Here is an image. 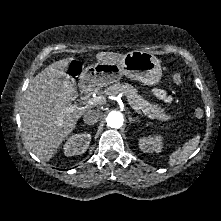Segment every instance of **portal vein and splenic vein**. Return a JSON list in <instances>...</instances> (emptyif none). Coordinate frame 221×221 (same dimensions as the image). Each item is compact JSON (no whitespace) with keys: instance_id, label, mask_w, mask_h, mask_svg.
I'll list each match as a JSON object with an SVG mask.
<instances>
[{"instance_id":"18ae733b","label":"portal vein and splenic vein","mask_w":221,"mask_h":221,"mask_svg":"<svg viewBox=\"0 0 221 221\" xmlns=\"http://www.w3.org/2000/svg\"><path fill=\"white\" fill-rule=\"evenodd\" d=\"M127 101L129 105L132 107L133 110H135L138 114H141V111L133 104V102L127 98ZM105 102V97L104 96H98L95 98H92L86 102H84V105H97V104H102ZM76 108H78L77 105H71L65 109L66 112H73Z\"/></svg>"}]
</instances>
